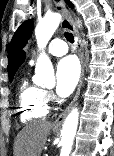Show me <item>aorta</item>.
I'll return each instance as SVG.
<instances>
[{
	"label": "aorta",
	"instance_id": "obj_1",
	"mask_svg": "<svg viewBox=\"0 0 114 156\" xmlns=\"http://www.w3.org/2000/svg\"><path fill=\"white\" fill-rule=\"evenodd\" d=\"M61 16L53 13L46 15L36 26L35 36L39 49H44L48 41L51 39L53 33L59 26ZM36 84L47 85L55 81L52 63L49 57L43 52L37 59L35 68ZM79 119V112L74 108L66 117L63 128L61 130V153L60 156H69L73 144V139L77 130Z\"/></svg>",
	"mask_w": 114,
	"mask_h": 156
}]
</instances>
